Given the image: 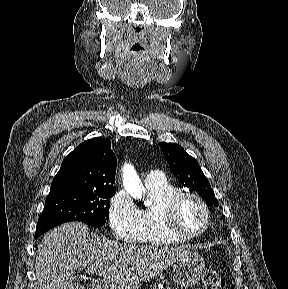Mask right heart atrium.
<instances>
[{
	"label": "right heart atrium",
	"instance_id": "1",
	"mask_svg": "<svg viewBox=\"0 0 288 289\" xmlns=\"http://www.w3.org/2000/svg\"><path fill=\"white\" fill-rule=\"evenodd\" d=\"M108 218L119 240L130 243L141 240L144 230L142 210L125 190H119L111 197Z\"/></svg>",
	"mask_w": 288,
	"mask_h": 289
}]
</instances>
